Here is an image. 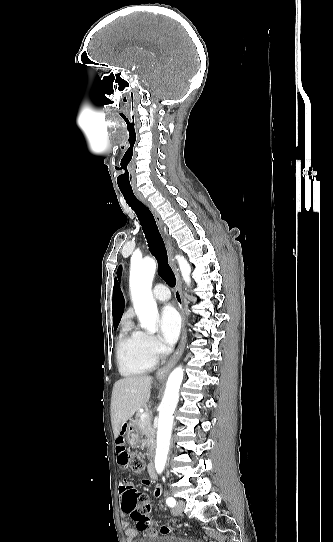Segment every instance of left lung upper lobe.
I'll use <instances>...</instances> for the list:
<instances>
[{
    "label": "left lung upper lobe",
    "instance_id": "1",
    "mask_svg": "<svg viewBox=\"0 0 333 542\" xmlns=\"http://www.w3.org/2000/svg\"><path fill=\"white\" fill-rule=\"evenodd\" d=\"M117 273H118V275L120 276V274H121V267L118 268Z\"/></svg>",
    "mask_w": 333,
    "mask_h": 542
}]
</instances>
